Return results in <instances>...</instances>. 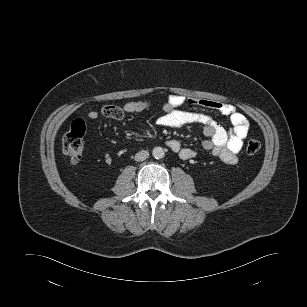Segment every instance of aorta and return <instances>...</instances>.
Returning a JSON list of instances; mask_svg holds the SVG:
<instances>
[{
	"label": "aorta",
	"mask_w": 307,
	"mask_h": 307,
	"mask_svg": "<svg viewBox=\"0 0 307 307\" xmlns=\"http://www.w3.org/2000/svg\"><path fill=\"white\" fill-rule=\"evenodd\" d=\"M152 155L155 159H161L164 157L165 152L161 147H155L152 151Z\"/></svg>",
	"instance_id": "762f6f07"
}]
</instances>
